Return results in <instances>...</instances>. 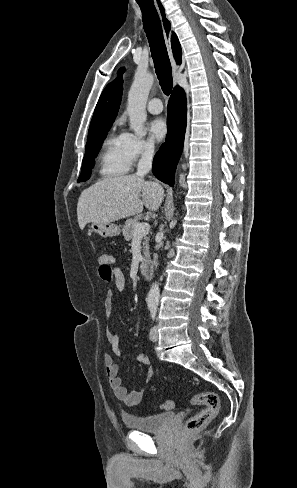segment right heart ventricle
<instances>
[{"label":"right heart ventricle","mask_w":297,"mask_h":488,"mask_svg":"<svg viewBox=\"0 0 297 488\" xmlns=\"http://www.w3.org/2000/svg\"><path fill=\"white\" fill-rule=\"evenodd\" d=\"M128 162L121 135H111L103 143L99 155V173L105 177H114L128 171Z\"/></svg>","instance_id":"e07e8e85"}]
</instances>
